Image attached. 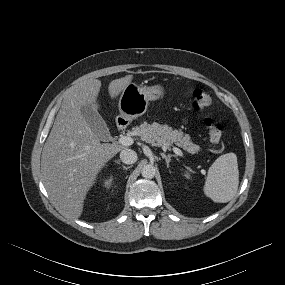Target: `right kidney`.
Listing matches in <instances>:
<instances>
[{"mask_svg":"<svg viewBox=\"0 0 285 285\" xmlns=\"http://www.w3.org/2000/svg\"><path fill=\"white\" fill-rule=\"evenodd\" d=\"M111 183H112V178H109V179L105 180V182H104L105 186H107V187L110 186Z\"/></svg>","mask_w":285,"mask_h":285,"instance_id":"right-kidney-1","label":"right kidney"}]
</instances>
